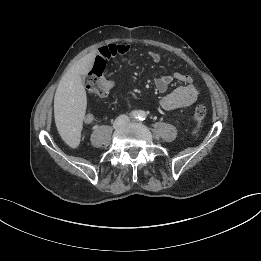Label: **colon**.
<instances>
[{
    "label": "colon",
    "instance_id": "obj_1",
    "mask_svg": "<svg viewBox=\"0 0 261 261\" xmlns=\"http://www.w3.org/2000/svg\"><path fill=\"white\" fill-rule=\"evenodd\" d=\"M105 64L102 61L94 62L93 68L86 79V88L88 92L96 96H107L110 93V88L106 79L103 76ZM207 109L204 105L199 104L194 110L195 125L192 128V135H196L200 129L201 123L204 120Z\"/></svg>",
    "mask_w": 261,
    "mask_h": 261
}]
</instances>
